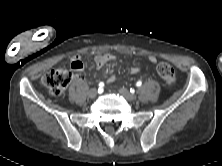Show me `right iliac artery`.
Listing matches in <instances>:
<instances>
[{"label":"right iliac artery","mask_w":222,"mask_h":166,"mask_svg":"<svg viewBox=\"0 0 222 166\" xmlns=\"http://www.w3.org/2000/svg\"><path fill=\"white\" fill-rule=\"evenodd\" d=\"M103 86H104V83L101 82V83L99 84V89L102 88Z\"/></svg>","instance_id":"82829eb1"}]
</instances>
